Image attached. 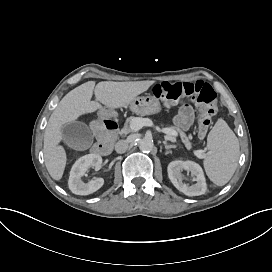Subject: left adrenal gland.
<instances>
[{"label":"left adrenal gland","mask_w":272,"mask_h":272,"mask_svg":"<svg viewBox=\"0 0 272 272\" xmlns=\"http://www.w3.org/2000/svg\"><path fill=\"white\" fill-rule=\"evenodd\" d=\"M165 149H171V148H176V145H168L167 141H164Z\"/></svg>","instance_id":"left-adrenal-gland-1"}]
</instances>
